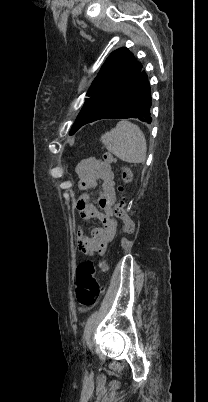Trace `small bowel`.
Here are the masks:
<instances>
[{
  "mask_svg": "<svg viewBox=\"0 0 208 402\" xmlns=\"http://www.w3.org/2000/svg\"><path fill=\"white\" fill-rule=\"evenodd\" d=\"M76 173L79 177V188L85 191L76 203L81 217L87 222L99 219L102 223V227L92 228L89 235L79 227L76 231L77 241L83 252H102L113 240L118 229L113 210L115 180L112 165L103 159L89 157L78 163ZM98 182H101V189L97 192L101 211L91 202L89 194L97 190Z\"/></svg>",
  "mask_w": 208,
  "mask_h": 402,
  "instance_id": "1",
  "label": "small bowel"
}]
</instances>
